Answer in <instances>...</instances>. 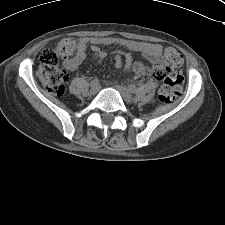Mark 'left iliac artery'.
I'll list each match as a JSON object with an SVG mask.
<instances>
[{
    "label": "left iliac artery",
    "mask_w": 225,
    "mask_h": 225,
    "mask_svg": "<svg viewBox=\"0 0 225 225\" xmlns=\"http://www.w3.org/2000/svg\"><path fill=\"white\" fill-rule=\"evenodd\" d=\"M129 90L134 93L136 91V86L135 85H130L129 86Z\"/></svg>",
    "instance_id": "1"
}]
</instances>
